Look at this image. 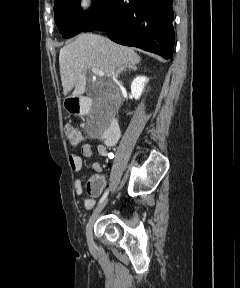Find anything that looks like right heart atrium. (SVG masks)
Returning a JSON list of instances; mask_svg holds the SVG:
<instances>
[{
  "instance_id": "d8ad5b80",
  "label": "right heart atrium",
  "mask_w": 240,
  "mask_h": 288,
  "mask_svg": "<svg viewBox=\"0 0 240 288\" xmlns=\"http://www.w3.org/2000/svg\"><path fill=\"white\" fill-rule=\"evenodd\" d=\"M94 3H95L94 0H79L78 6L81 11L85 12V11L90 10L93 7Z\"/></svg>"
}]
</instances>
